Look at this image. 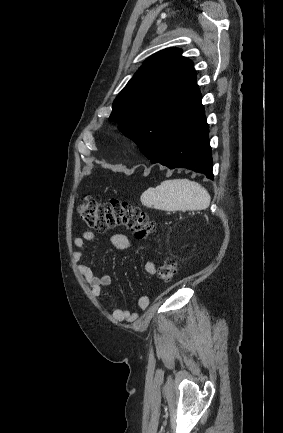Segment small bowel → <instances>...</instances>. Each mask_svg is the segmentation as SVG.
<instances>
[{
  "label": "small bowel",
  "instance_id": "small-bowel-1",
  "mask_svg": "<svg viewBox=\"0 0 283 433\" xmlns=\"http://www.w3.org/2000/svg\"><path fill=\"white\" fill-rule=\"evenodd\" d=\"M94 239L95 233L91 230L83 231L81 236L74 239L76 251L73 258L75 262H79L83 258L86 242L93 241ZM110 243L117 250H125L136 246V243L129 236L122 233L112 235ZM138 248L144 249L145 247L138 246ZM144 269L149 276H154L157 271L156 265L153 262H147ZM78 271L85 278L95 296H100L111 283L109 275H98L87 265H79ZM149 304L150 299L148 296H142L138 300V307L141 310H145ZM112 318L118 322L133 323L138 319V313L130 312L127 309L115 308L112 310Z\"/></svg>",
  "mask_w": 283,
  "mask_h": 433
}]
</instances>
